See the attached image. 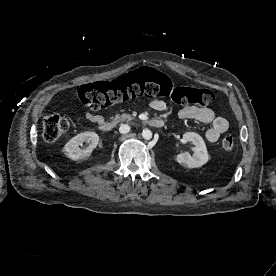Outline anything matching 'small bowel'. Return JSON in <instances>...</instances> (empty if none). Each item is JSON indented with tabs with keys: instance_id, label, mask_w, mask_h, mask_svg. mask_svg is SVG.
I'll list each match as a JSON object with an SVG mask.
<instances>
[{
	"instance_id": "c3829d8e",
	"label": "small bowel",
	"mask_w": 276,
	"mask_h": 276,
	"mask_svg": "<svg viewBox=\"0 0 276 276\" xmlns=\"http://www.w3.org/2000/svg\"><path fill=\"white\" fill-rule=\"evenodd\" d=\"M150 107L155 111H164L166 104L161 100H153L150 103ZM178 116L180 119H190L211 124V127L205 133L209 142H216L229 128V122L225 117L217 115L213 109L207 107L186 106L178 112ZM85 117L96 124L103 122V117L88 111L85 112Z\"/></svg>"
}]
</instances>
